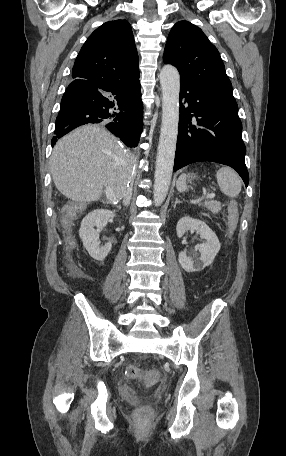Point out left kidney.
<instances>
[{
	"label": "left kidney",
	"instance_id": "left-kidney-1",
	"mask_svg": "<svg viewBox=\"0 0 286 456\" xmlns=\"http://www.w3.org/2000/svg\"><path fill=\"white\" fill-rule=\"evenodd\" d=\"M196 231L200 234L205 243L195 246L199 250L200 257L198 259H191L186 255V252L179 253L178 259L181 267L187 272H196L209 266L217 253L220 250V242L215 234L203 221L193 219L189 216L181 218L176 227L177 236L182 237L187 231Z\"/></svg>",
	"mask_w": 286,
	"mask_h": 456
}]
</instances>
